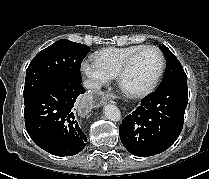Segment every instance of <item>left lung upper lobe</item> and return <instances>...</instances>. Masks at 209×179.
Masks as SVG:
<instances>
[{
    "instance_id": "5c2ea615",
    "label": "left lung upper lobe",
    "mask_w": 209,
    "mask_h": 179,
    "mask_svg": "<svg viewBox=\"0 0 209 179\" xmlns=\"http://www.w3.org/2000/svg\"><path fill=\"white\" fill-rule=\"evenodd\" d=\"M160 49L165 55L167 68L165 76L158 88L167 86L173 82L187 80V76L183 70L182 65L180 64L179 60L173 55V53L165 46H160Z\"/></svg>"
}]
</instances>
